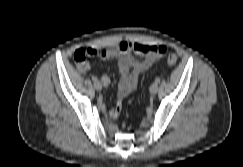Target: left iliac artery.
I'll list each match as a JSON object with an SVG mask.
<instances>
[{"mask_svg":"<svg viewBox=\"0 0 243 167\" xmlns=\"http://www.w3.org/2000/svg\"><path fill=\"white\" fill-rule=\"evenodd\" d=\"M159 82H160V78H156L155 83H159Z\"/></svg>","mask_w":243,"mask_h":167,"instance_id":"obj_1","label":"left iliac artery"}]
</instances>
